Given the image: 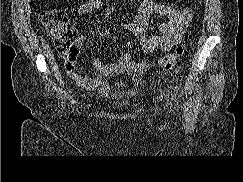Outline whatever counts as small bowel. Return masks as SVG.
<instances>
[{
  "label": "small bowel",
  "mask_w": 243,
  "mask_h": 182,
  "mask_svg": "<svg viewBox=\"0 0 243 182\" xmlns=\"http://www.w3.org/2000/svg\"><path fill=\"white\" fill-rule=\"evenodd\" d=\"M101 0H87L78 7L80 15H89L99 10ZM160 15L167 18V21L160 25V34L149 36V20L152 15ZM193 18L191 7L175 8L165 4L156 3L154 0H144L137 11L135 19L131 22L123 23V27L131 31L140 41L142 52L147 55L155 49L169 52L177 45ZM85 39L79 37L75 41L74 54L65 58V68L68 75L81 88L98 92L102 97H112L114 99L132 95L134 90H122L112 92L110 84L105 77L120 74H128L135 87L143 83V75L153 64L144 59L136 60L131 53L124 54L118 62L105 63L100 59L93 61V68L98 72L95 77L82 75L77 71L76 55L84 45ZM119 88H125L123 81L117 83Z\"/></svg>",
  "instance_id": "obj_1"
}]
</instances>
